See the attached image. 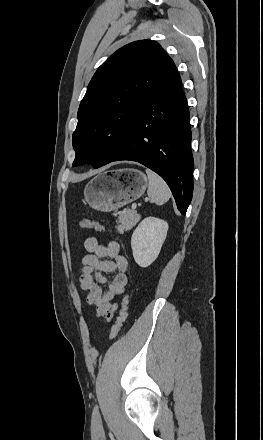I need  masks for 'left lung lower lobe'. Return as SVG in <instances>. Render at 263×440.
<instances>
[{"instance_id":"1","label":"left lung lower lobe","mask_w":263,"mask_h":440,"mask_svg":"<svg viewBox=\"0 0 263 440\" xmlns=\"http://www.w3.org/2000/svg\"><path fill=\"white\" fill-rule=\"evenodd\" d=\"M189 118L181 78L173 63L138 113L129 141L108 162L136 161L159 174L170 187L182 214L186 213L193 194Z\"/></svg>"}]
</instances>
